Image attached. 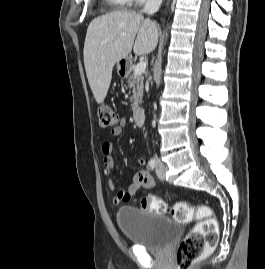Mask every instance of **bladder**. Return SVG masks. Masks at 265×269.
Segmentation results:
<instances>
[{"instance_id":"bladder-1","label":"bladder","mask_w":265,"mask_h":269,"mask_svg":"<svg viewBox=\"0 0 265 269\" xmlns=\"http://www.w3.org/2000/svg\"><path fill=\"white\" fill-rule=\"evenodd\" d=\"M116 221L127 240L151 251H163L181 235V226L167 216L149 214L135 206L117 210Z\"/></svg>"}]
</instances>
